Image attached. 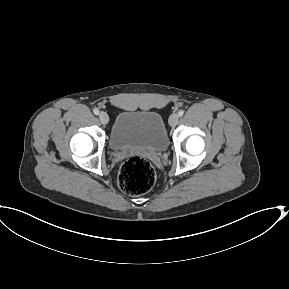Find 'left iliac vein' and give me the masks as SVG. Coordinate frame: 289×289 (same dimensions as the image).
Wrapping results in <instances>:
<instances>
[{"label":"left iliac vein","instance_id":"4c4485c4","mask_svg":"<svg viewBox=\"0 0 289 289\" xmlns=\"http://www.w3.org/2000/svg\"><path fill=\"white\" fill-rule=\"evenodd\" d=\"M179 121V116L176 113H173L170 117H169V125L171 127H174L178 124Z\"/></svg>","mask_w":289,"mask_h":289}]
</instances>
